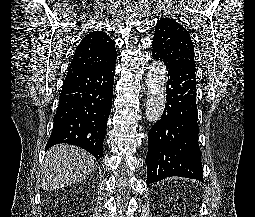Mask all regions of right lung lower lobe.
Instances as JSON below:
<instances>
[{
  "label": "right lung lower lobe",
  "mask_w": 255,
  "mask_h": 217,
  "mask_svg": "<svg viewBox=\"0 0 255 217\" xmlns=\"http://www.w3.org/2000/svg\"><path fill=\"white\" fill-rule=\"evenodd\" d=\"M115 62L92 69H69L63 82L50 147L69 143L104 158L103 141L112 106Z\"/></svg>",
  "instance_id": "1"
}]
</instances>
